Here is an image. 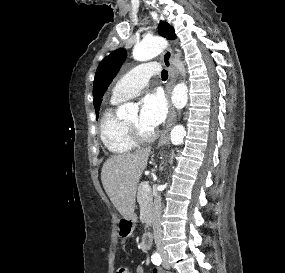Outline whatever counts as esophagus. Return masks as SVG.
I'll return each instance as SVG.
<instances>
[{
  "label": "esophagus",
  "mask_w": 285,
  "mask_h": 273,
  "mask_svg": "<svg viewBox=\"0 0 285 273\" xmlns=\"http://www.w3.org/2000/svg\"><path fill=\"white\" fill-rule=\"evenodd\" d=\"M172 58H173L172 48L168 47L162 54V61L169 72V82L166 88V94H167V99H168V104H169V117H168L165 132L162 135L161 139L159 140L157 147H161L167 142L170 128L172 127V125L174 124L176 120V112L170 100L171 91L176 82V76H177V72L173 65Z\"/></svg>",
  "instance_id": "esophagus-1"
}]
</instances>
